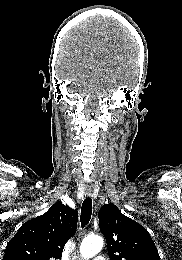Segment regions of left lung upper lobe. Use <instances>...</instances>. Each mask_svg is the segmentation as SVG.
<instances>
[{
	"label": "left lung upper lobe",
	"instance_id": "5c2ea615",
	"mask_svg": "<svg viewBox=\"0 0 182 260\" xmlns=\"http://www.w3.org/2000/svg\"><path fill=\"white\" fill-rule=\"evenodd\" d=\"M98 216L110 260H160L148 231L123 215L113 203L104 205Z\"/></svg>",
	"mask_w": 182,
	"mask_h": 260
}]
</instances>
